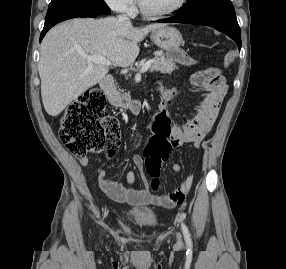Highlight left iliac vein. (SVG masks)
<instances>
[{
    "label": "left iliac vein",
    "instance_id": "left-iliac-vein-1",
    "mask_svg": "<svg viewBox=\"0 0 286 269\" xmlns=\"http://www.w3.org/2000/svg\"><path fill=\"white\" fill-rule=\"evenodd\" d=\"M178 239H179V243L181 242V240H180V235H178Z\"/></svg>",
    "mask_w": 286,
    "mask_h": 269
}]
</instances>
